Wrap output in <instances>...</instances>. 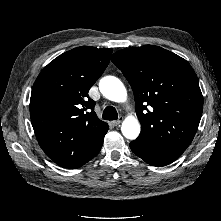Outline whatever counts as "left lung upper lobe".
<instances>
[{"instance_id": "5c2ea615", "label": "left lung upper lobe", "mask_w": 221, "mask_h": 221, "mask_svg": "<svg viewBox=\"0 0 221 221\" xmlns=\"http://www.w3.org/2000/svg\"><path fill=\"white\" fill-rule=\"evenodd\" d=\"M112 62L133 89L142 126L135 141L185 151L203 110V96L190 64L153 45L120 50L112 55Z\"/></svg>"}]
</instances>
